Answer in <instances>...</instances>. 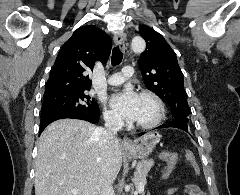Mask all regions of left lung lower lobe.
Here are the masks:
<instances>
[{
    "label": "left lung lower lobe",
    "mask_w": 240,
    "mask_h": 195,
    "mask_svg": "<svg viewBox=\"0 0 240 195\" xmlns=\"http://www.w3.org/2000/svg\"><path fill=\"white\" fill-rule=\"evenodd\" d=\"M168 127H174V128H179V129H182L186 132H188L189 128L188 127H185V126H182V125H178V124H173V123H167V124H164V125H161L157 128H168ZM144 133H139L138 135H142Z\"/></svg>",
    "instance_id": "left-lung-lower-lobe-1"
}]
</instances>
